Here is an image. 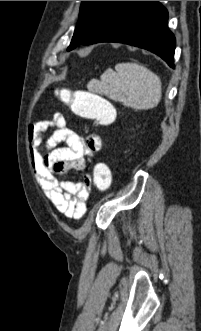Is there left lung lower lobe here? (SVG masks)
I'll return each instance as SVG.
<instances>
[{"label": "left lung lower lobe", "mask_w": 201, "mask_h": 331, "mask_svg": "<svg viewBox=\"0 0 201 331\" xmlns=\"http://www.w3.org/2000/svg\"><path fill=\"white\" fill-rule=\"evenodd\" d=\"M99 42L149 50L174 68L175 37L168 29V12L158 1H120L81 44Z\"/></svg>", "instance_id": "1"}]
</instances>
